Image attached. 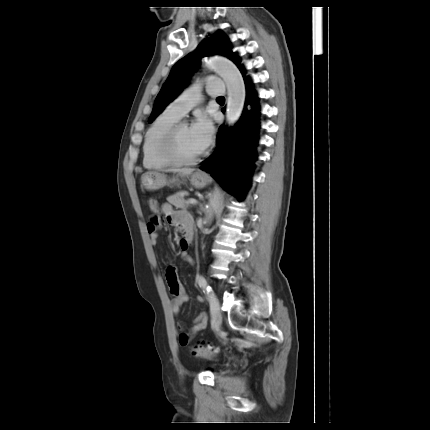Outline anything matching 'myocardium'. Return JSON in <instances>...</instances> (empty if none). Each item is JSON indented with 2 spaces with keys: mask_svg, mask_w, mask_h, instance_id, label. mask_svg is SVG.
I'll return each instance as SVG.
<instances>
[{
  "mask_svg": "<svg viewBox=\"0 0 430 430\" xmlns=\"http://www.w3.org/2000/svg\"><path fill=\"white\" fill-rule=\"evenodd\" d=\"M186 126V124L182 122H177L174 124L162 137L160 144H159V152L160 155L171 165L176 166H185V165H193L200 161V159L203 157V152L201 151L198 155L191 157V158H185L182 157L177 149V136L179 130Z\"/></svg>",
  "mask_w": 430,
  "mask_h": 430,
  "instance_id": "myocardium-1",
  "label": "myocardium"
}]
</instances>
